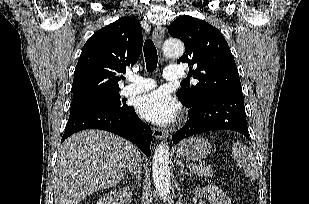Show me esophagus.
Listing matches in <instances>:
<instances>
[{
    "label": "esophagus",
    "instance_id": "esophagus-1",
    "mask_svg": "<svg viewBox=\"0 0 309 204\" xmlns=\"http://www.w3.org/2000/svg\"><path fill=\"white\" fill-rule=\"evenodd\" d=\"M152 37H153V40L156 46L160 49L163 43V38H164V28L162 26H156L153 30ZM152 133H153V136L158 140H162L166 136V133L164 132V130L159 129V128H153Z\"/></svg>",
    "mask_w": 309,
    "mask_h": 204
}]
</instances>
